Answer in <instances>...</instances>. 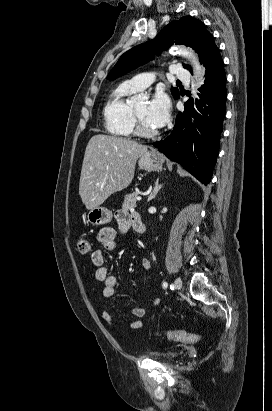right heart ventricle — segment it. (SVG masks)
<instances>
[{
	"instance_id": "1",
	"label": "right heart ventricle",
	"mask_w": 272,
	"mask_h": 411,
	"mask_svg": "<svg viewBox=\"0 0 272 411\" xmlns=\"http://www.w3.org/2000/svg\"><path fill=\"white\" fill-rule=\"evenodd\" d=\"M136 91L128 82H124L109 95L103 108V116L106 129L110 134L119 137L132 135L131 105L128 98Z\"/></svg>"
}]
</instances>
